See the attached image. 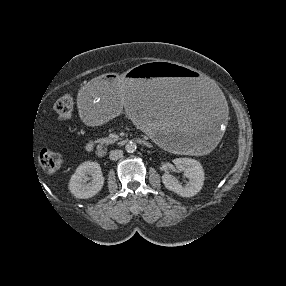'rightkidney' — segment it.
I'll use <instances>...</instances> for the list:
<instances>
[{"label": "right kidney", "mask_w": 286, "mask_h": 286, "mask_svg": "<svg viewBox=\"0 0 286 286\" xmlns=\"http://www.w3.org/2000/svg\"><path fill=\"white\" fill-rule=\"evenodd\" d=\"M88 175L92 176V180L86 183L89 180ZM103 184L104 177L100 165L97 162L86 161L80 164L72 175L69 190L76 198L87 199L96 195Z\"/></svg>", "instance_id": "obj_1"}]
</instances>
